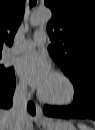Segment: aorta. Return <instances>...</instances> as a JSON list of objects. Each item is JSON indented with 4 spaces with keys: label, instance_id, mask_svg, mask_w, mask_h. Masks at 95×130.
Here are the masks:
<instances>
[{
    "label": "aorta",
    "instance_id": "1",
    "mask_svg": "<svg viewBox=\"0 0 95 130\" xmlns=\"http://www.w3.org/2000/svg\"><path fill=\"white\" fill-rule=\"evenodd\" d=\"M52 13L48 8H38L31 17V24L38 25L47 23L51 19Z\"/></svg>",
    "mask_w": 95,
    "mask_h": 130
}]
</instances>
